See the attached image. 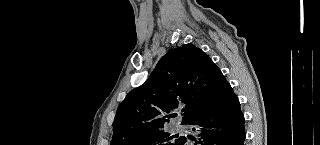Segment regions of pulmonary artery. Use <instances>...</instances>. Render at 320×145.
Returning a JSON list of instances; mask_svg holds the SVG:
<instances>
[{
  "label": "pulmonary artery",
  "instance_id": "e3ab8cb5",
  "mask_svg": "<svg viewBox=\"0 0 320 145\" xmlns=\"http://www.w3.org/2000/svg\"><path fill=\"white\" fill-rule=\"evenodd\" d=\"M174 129L177 132H184V130H185L184 127L182 125H179V124L176 125Z\"/></svg>",
  "mask_w": 320,
  "mask_h": 145
}]
</instances>
